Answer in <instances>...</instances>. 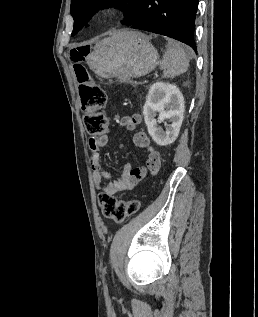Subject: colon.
<instances>
[{
	"label": "colon",
	"instance_id": "colon-1",
	"mask_svg": "<svg viewBox=\"0 0 258 317\" xmlns=\"http://www.w3.org/2000/svg\"><path fill=\"white\" fill-rule=\"evenodd\" d=\"M88 53L85 47L70 52L77 78L81 109L86 130L92 136H102L107 132V122L103 113L106 104L105 91L90 78L82 62ZM103 215L117 222H123L140 208V201L118 200L113 195L101 193L98 197Z\"/></svg>",
	"mask_w": 258,
	"mask_h": 317
}]
</instances>
